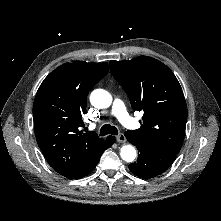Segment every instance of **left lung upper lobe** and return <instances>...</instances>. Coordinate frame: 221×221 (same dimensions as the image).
Returning a JSON list of instances; mask_svg holds the SVG:
<instances>
[{"label": "left lung upper lobe", "mask_w": 221, "mask_h": 221, "mask_svg": "<svg viewBox=\"0 0 221 221\" xmlns=\"http://www.w3.org/2000/svg\"><path fill=\"white\" fill-rule=\"evenodd\" d=\"M109 66L132 108L144 112L140 129L128 132L152 147L178 153L184 140L187 106L173 72L148 56L110 61Z\"/></svg>", "instance_id": "left-lung-upper-lobe-1"}]
</instances>
